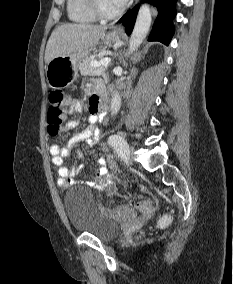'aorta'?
Instances as JSON below:
<instances>
[{"mask_svg": "<svg viewBox=\"0 0 233 284\" xmlns=\"http://www.w3.org/2000/svg\"><path fill=\"white\" fill-rule=\"evenodd\" d=\"M152 16L148 4H143L138 12L134 29L132 31L128 53H132L142 44L151 26ZM121 107V97L115 92L111 99V115H116Z\"/></svg>", "mask_w": 233, "mask_h": 284, "instance_id": "1", "label": "aorta"}]
</instances>
